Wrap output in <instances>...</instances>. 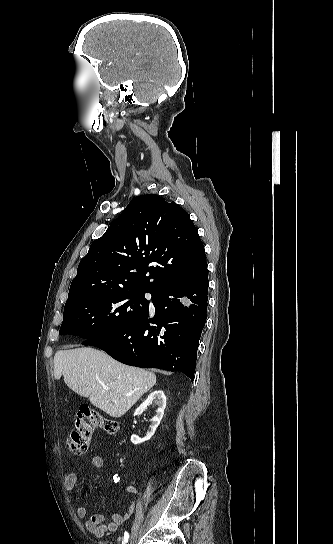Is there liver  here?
Segmentation results:
<instances>
[{
	"instance_id": "obj_1",
	"label": "liver",
	"mask_w": 333,
	"mask_h": 544,
	"mask_svg": "<svg viewBox=\"0 0 333 544\" xmlns=\"http://www.w3.org/2000/svg\"><path fill=\"white\" fill-rule=\"evenodd\" d=\"M62 375L71 390L89 397L95 407L114 418L123 416L156 384L154 373L124 365L90 347L58 351L54 377L59 380Z\"/></svg>"
}]
</instances>
